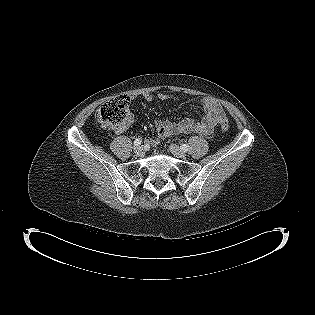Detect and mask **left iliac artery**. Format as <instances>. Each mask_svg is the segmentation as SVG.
<instances>
[{"instance_id":"1","label":"left iliac artery","mask_w":315,"mask_h":315,"mask_svg":"<svg viewBox=\"0 0 315 315\" xmlns=\"http://www.w3.org/2000/svg\"><path fill=\"white\" fill-rule=\"evenodd\" d=\"M181 149H182L183 151H188V150H189V146H188L187 144H183V145L181 146Z\"/></svg>"}]
</instances>
